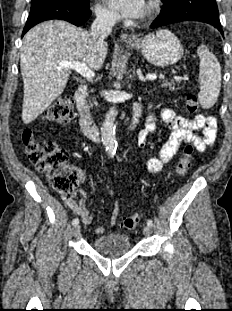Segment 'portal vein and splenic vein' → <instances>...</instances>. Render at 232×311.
I'll list each match as a JSON object with an SVG mask.
<instances>
[{"label": "portal vein and splenic vein", "mask_w": 232, "mask_h": 311, "mask_svg": "<svg viewBox=\"0 0 232 311\" xmlns=\"http://www.w3.org/2000/svg\"><path fill=\"white\" fill-rule=\"evenodd\" d=\"M59 68L71 69L78 72L80 75L86 78H93L95 76L94 72L87 67V65L83 62L76 61H61L59 63ZM157 78L156 74H148L146 75L147 80H155Z\"/></svg>", "instance_id": "18ae733b"}]
</instances>
